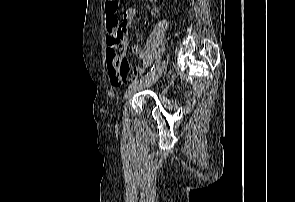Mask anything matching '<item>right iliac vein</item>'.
Segmentation results:
<instances>
[{"label":"right iliac vein","mask_w":295,"mask_h":202,"mask_svg":"<svg viewBox=\"0 0 295 202\" xmlns=\"http://www.w3.org/2000/svg\"><path fill=\"white\" fill-rule=\"evenodd\" d=\"M164 68H165V62H162L160 67L157 69V71H155V73L152 76H150L147 80L139 83L138 85H136L134 87L129 88L124 94L123 101H125L129 96H131L136 89H138L140 87L150 86L153 83H155L159 79V77L161 76Z\"/></svg>","instance_id":"obj_1"}]
</instances>
